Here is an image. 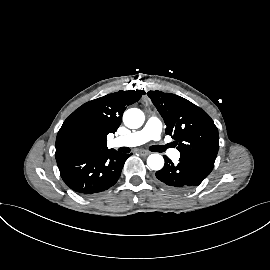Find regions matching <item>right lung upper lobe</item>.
<instances>
[{
    "label": "right lung upper lobe",
    "mask_w": 270,
    "mask_h": 270,
    "mask_svg": "<svg viewBox=\"0 0 270 270\" xmlns=\"http://www.w3.org/2000/svg\"><path fill=\"white\" fill-rule=\"evenodd\" d=\"M144 94L142 90L119 91L80 106L64 121L57 134L56 159L108 149L107 135L117 131L126 107Z\"/></svg>",
    "instance_id": "obj_1"
}]
</instances>
